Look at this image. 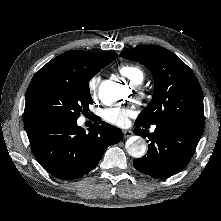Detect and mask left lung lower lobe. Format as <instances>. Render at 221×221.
I'll return each mask as SVG.
<instances>
[{
	"instance_id": "1",
	"label": "left lung lower lobe",
	"mask_w": 221,
	"mask_h": 221,
	"mask_svg": "<svg viewBox=\"0 0 221 221\" xmlns=\"http://www.w3.org/2000/svg\"><path fill=\"white\" fill-rule=\"evenodd\" d=\"M134 134L148 137V153L134 160V167L147 175L168 177L180 172L189 163L203 131L174 125L157 124L153 133L148 134L135 122Z\"/></svg>"
}]
</instances>
